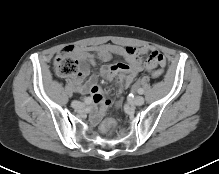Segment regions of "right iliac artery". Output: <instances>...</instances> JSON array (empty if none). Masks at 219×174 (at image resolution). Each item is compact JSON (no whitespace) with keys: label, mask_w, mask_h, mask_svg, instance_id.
<instances>
[{"label":"right iliac artery","mask_w":219,"mask_h":174,"mask_svg":"<svg viewBox=\"0 0 219 174\" xmlns=\"http://www.w3.org/2000/svg\"><path fill=\"white\" fill-rule=\"evenodd\" d=\"M84 103L87 104V105L90 104L91 103V98H89V97L85 98Z\"/></svg>","instance_id":"1"}]
</instances>
